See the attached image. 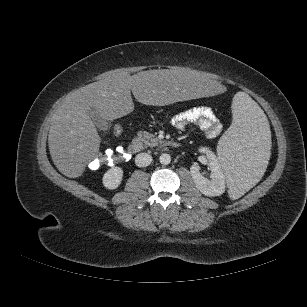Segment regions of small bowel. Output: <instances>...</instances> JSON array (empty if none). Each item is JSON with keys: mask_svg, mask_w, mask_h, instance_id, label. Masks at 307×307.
Wrapping results in <instances>:
<instances>
[{"mask_svg": "<svg viewBox=\"0 0 307 307\" xmlns=\"http://www.w3.org/2000/svg\"><path fill=\"white\" fill-rule=\"evenodd\" d=\"M178 130H185L189 124L197 125L208 138H215L222 132V124L210 107L199 106L185 110L171 119Z\"/></svg>", "mask_w": 307, "mask_h": 307, "instance_id": "c3829d8e", "label": "small bowel"}]
</instances>
